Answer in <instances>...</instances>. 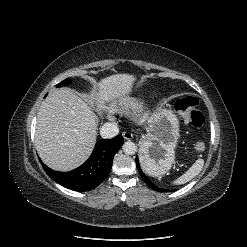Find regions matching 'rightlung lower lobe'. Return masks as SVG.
<instances>
[{
	"label": "right lung lower lobe",
	"instance_id": "obj_1",
	"mask_svg": "<svg viewBox=\"0 0 247 247\" xmlns=\"http://www.w3.org/2000/svg\"><path fill=\"white\" fill-rule=\"evenodd\" d=\"M122 135L112 139L100 140L89 159L70 172L53 171L45 164V172L57 183L76 191H89L101 184L110 173L113 157L123 144Z\"/></svg>",
	"mask_w": 247,
	"mask_h": 247
}]
</instances>
